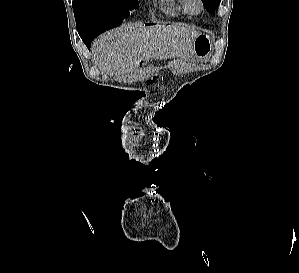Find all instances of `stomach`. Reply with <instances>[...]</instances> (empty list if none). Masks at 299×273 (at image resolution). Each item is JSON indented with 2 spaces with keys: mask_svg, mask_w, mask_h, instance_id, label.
I'll return each instance as SVG.
<instances>
[{
  "mask_svg": "<svg viewBox=\"0 0 299 273\" xmlns=\"http://www.w3.org/2000/svg\"><path fill=\"white\" fill-rule=\"evenodd\" d=\"M212 52V35L205 31L200 32L193 40V53L197 59L206 60Z\"/></svg>",
  "mask_w": 299,
  "mask_h": 273,
  "instance_id": "obj_1",
  "label": "stomach"
}]
</instances>
